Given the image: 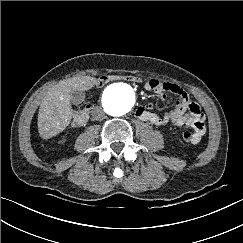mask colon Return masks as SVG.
<instances>
[{
  "label": "colon",
  "instance_id": "1",
  "mask_svg": "<svg viewBox=\"0 0 243 243\" xmlns=\"http://www.w3.org/2000/svg\"><path fill=\"white\" fill-rule=\"evenodd\" d=\"M118 78L126 79V80H129V81H134V82H138L140 80L138 77L132 76V75H128V76L103 75L98 79L97 83H98L99 86H103V85H105V84H107V83H109V82H111L115 79H118ZM90 110H91L90 105L76 110L74 112V115H73V123L75 125L84 124L89 118ZM182 137L186 142H192L193 141V133L192 132L186 131V132L183 133Z\"/></svg>",
  "mask_w": 243,
  "mask_h": 243
}]
</instances>
